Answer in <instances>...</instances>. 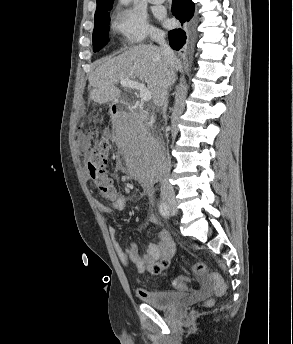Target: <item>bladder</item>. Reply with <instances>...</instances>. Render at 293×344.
I'll use <instances>...</instances> for the list:
<instances>
[{"instance_id": "bladder-1", "label": "bladder", "mask_w": 293, "mask_h": 344, "mask_svg": "<svg viewBox=\"0 0 293 344\" xmlns=\"http://www.w3.org/2000/svg\"><path fill=\"white\" fill-rule=\"evenodd\" d=\"M186 298L183 292L174 290H144V301L157 308L166 309Z\"/></svg>"}]
</instances>
